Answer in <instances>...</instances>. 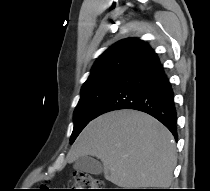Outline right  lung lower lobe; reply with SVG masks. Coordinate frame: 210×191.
Returning <instances> with one entry per match:
<instances>
[{
	"instance_id": "98d812e1",
	"label": "right lung lower lobe",
	"mask_w": 210,
	"mask_h": 191,
	"mask_svg": "<svg viewBox=\"0 0 210 191\" xmlns=\"http://www.w3.org/2000/svg\"><path fill=\"white\" fill-rule=\"evenodd\" d=\"M119 109L150 114L164 124L177 140L174 93L157 54L147 43L131 57L118 81L99 105L96 117Z\"/></svg>"
}]
</instances>
